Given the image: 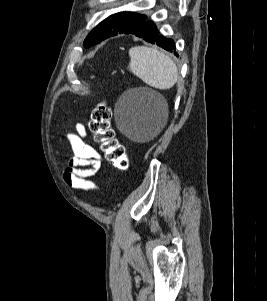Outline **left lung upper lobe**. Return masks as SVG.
<instances>
[{
  "instance_id": "obj_1",
  "label": "left lung upper lobe",
  "mask_w": 267,
  "mask_h": 301,
  "mask_svg": "<svg viewBox=\"0 0 267 301\" xmlns=\"http://www.w3.org/2000/svg\"><path fill=\"white\" fill-rule=\"evenodd\" d=\"M147 16L134 12H119L115 13L102 22H100L86 37L84 46L89 48L92 45L98 44L101 41L124 33L125 31L139 25L145 21Z\"/></svg>"
}]
</instances>
